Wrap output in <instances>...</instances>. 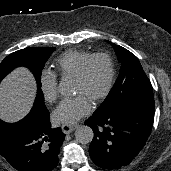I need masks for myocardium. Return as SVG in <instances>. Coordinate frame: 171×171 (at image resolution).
I'll return each mask as SVG.
<instances>
[{"mask_svg": "<svg viewBox=\"0 0 171 171\" xmlns=\"http://www.w3.org/2000/svg\"><path fill=\"white\" fill-rule=\"evenodd\" d=\"M97 58H103L106 60V62L108 64V79H107L106 85L103 88V90L93 98L92 101L94 103H98V102L102 101L104 98H106L113 87V83H114V79H115V66H114V61H113V58L111 57V55L106 52H98V53L91 54L82 63V65L80 66L77 73L73 76L74 79H76L78 81H82L87 74L89 66Z\"/></svg>", "mask_w": 171, "mask_h": 171, "instance_id": "obj_1", "label": "myocardium"}]
</instances>
